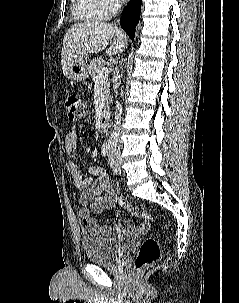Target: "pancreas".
Listing matches in <instances>:
<instances>
[{
	"mask_svg": "<svg viewBox=\"0 0 239 303\" xmlns=\"http://www.w3.org/2000/svg\"><path fill=\"white\" fill-rule=\"evenodd\" d=\"M104 65H105V61L101 57L92 59L90 61L88 65V73L94 82L97 81V74L104 67ZM109 86H110L109 79L105 78L103 80V87H102L104 105H108L109 103V96H110Z\"/></svg>",
	"mask_w": 239,
	"mask_h": 303,
	"instance_id": "obj_1",
	"label": "pancreas"
}]
</instances>
